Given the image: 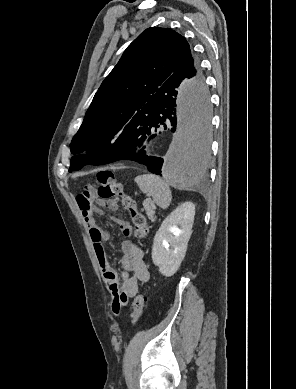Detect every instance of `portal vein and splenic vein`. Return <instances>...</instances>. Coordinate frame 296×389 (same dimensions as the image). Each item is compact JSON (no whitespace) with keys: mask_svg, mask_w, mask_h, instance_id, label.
<instances>
[{"mask_svg":"<svg viewBox=\"0 0 296 389\" xmlns=\"http://www.w3.org/2000/svg\"><path fill=\"white\" fill-rule=\"evenodd\" d=\"M147 214H148V216L153 217L154 211L152 209L147 208Z\"/></svg>","mask_w":296,"mask_h":389,"instance_id":"obj_1","label":"portal vein and splenic vein"}]
</instances>
